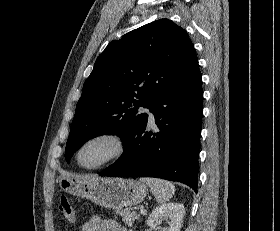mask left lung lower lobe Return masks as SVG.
<instances>
[{"label": "left lung lower lobe", "mask_w": 280, "mask_h": 231, "mask_svg": "<svg viewBox=\"0 0 280 231\" xmlns=\"http://www.w3.org/2000/svg\"><path fill=\"white\" fill-rule=\"evenodd\" d=\"M202 75L198 69L151 106L159 132L146 131V115L123 142V155L99 173L181 182L197 193L202 124Z\"/></svg>", "instance_id": "0a47b994"}]
</instances>
